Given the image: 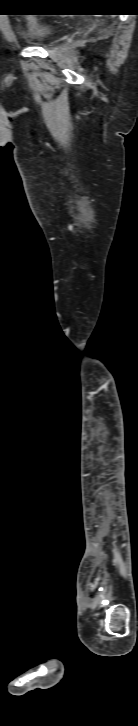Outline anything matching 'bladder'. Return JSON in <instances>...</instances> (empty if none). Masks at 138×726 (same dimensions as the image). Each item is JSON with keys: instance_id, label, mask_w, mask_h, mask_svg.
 I'll list each match as a JSON object with an SVG mask.
<instances>
[{"instance_id": "31cf9c89", "label": "bladder", "mask_w": 138, "mask_h": 726, "mask_svg": "<svg viewBox=\"0 0 138 726\" xmlns=\"http://www.w3.org/2000/svg\"><path fill=\"white\" fill-rule=\"evenodd\" d=\"M24 24L27 38L35 44L45 45L50 42L56 34V30L52 25L42 22L36 18H27Z\"/></svg>"}]
</instances>
